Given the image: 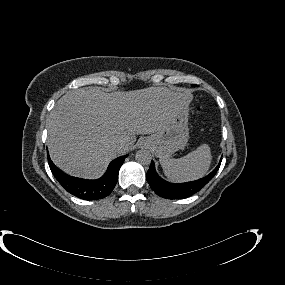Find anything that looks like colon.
Segmentation results:
<instances>
[{"label": "colon", "mask_w": 285, "mask_h": 285, "mask_svg": "<svg viewBox=\"0 0 285 285\" xmlns=\"http://www.w3.org/2000/svg\"><path fill=\"white\" fill-rule=\"evenodd\" d=\"M199 109H202V108H201V107H198V110H199Z\"/></svg>", "instance_id": "5ec220e1"}]
</instances>
